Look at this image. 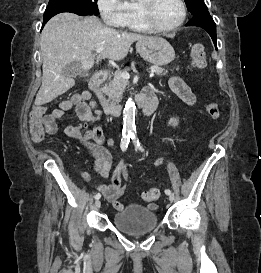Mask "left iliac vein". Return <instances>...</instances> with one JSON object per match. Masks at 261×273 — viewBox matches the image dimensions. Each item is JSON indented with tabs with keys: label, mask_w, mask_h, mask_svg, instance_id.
Here are the masks:
<instances>
[{
	"label": "left iliac vein",
	"mask_w": 261,
	"mask_h": 273,
	"mask_svg": "<svg viewBox=\"0 0 261 273\" xmlns=\"http://www.w3.org/2000/svg\"><path fill=\"white\" fill-rule=\"evenodd\" d=\"M168 198H169L170 201H173L174 200V195L171 193V194L168 195Z\"/></svg>",
	"instance_id": "1"
}]
</instances>
